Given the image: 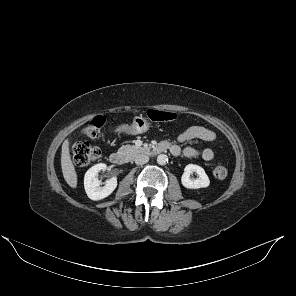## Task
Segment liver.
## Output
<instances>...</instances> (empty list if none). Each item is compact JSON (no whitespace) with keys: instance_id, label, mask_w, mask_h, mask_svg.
Segmentation results:
<instances>
[{"instance_id":"liver-1","label":"liver","mask_w":296,"mask_h":296,"mask_svg":"<svg viewBox=\"0 0 296 296\" xmlns=\"http://www.w3.org/2000/svg\"><path fill=\"white\" fill-rule=\"evenodd\" d=\"M61 168H62L63 177L67 182V184L72 188H76L77 173L75 171V167L71 160L68 139H66L62 144Z\"/></svg>"}]
</instances>
